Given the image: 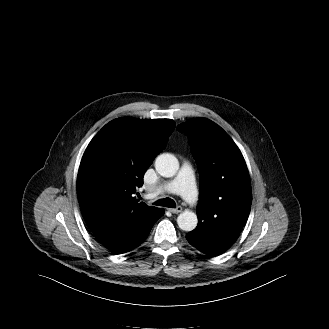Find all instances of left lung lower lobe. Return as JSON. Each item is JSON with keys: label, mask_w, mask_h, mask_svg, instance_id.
Returning a JSON list of instances; mask_svg holds the SVG:
<instances>
[{"label": "left lung lower lobe", "mask_w": 329, "mask_h": 329, "mask_svg": "<svg viewBox=\"0 0 329 329\" xmlns=\"http://www.w3.org/2000/svg\"><path fill=\"white\" fill-rule=\"evenodd\" d=\"M243 226L228 223L222 233H206L196 227L186 236L188 242L208 256L224 253L238 238Z\"/></svg>", "instance_id": "0a47b994"}]
</instances>
